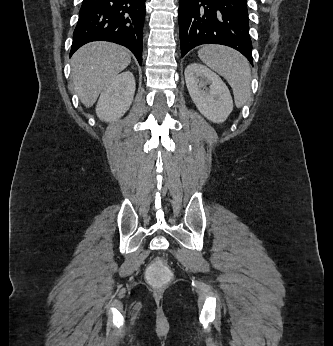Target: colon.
<instances>
[{"mask_svg": "<svg viewBox=\"0 0 333 346\" xmlns=\"http://www.w3.org/2000/svg\"><path fill=\"white\" fill-rule=\"evenodd\" d=\"M148 269L144 270V275L151 288H170V280L173 279L171 269L165 263L164 257H150Z\"/></svg>", "mask_w": 333, "mask_h": 346, "instance_id": "colon-1", "label": "colon"}]
</instances>
